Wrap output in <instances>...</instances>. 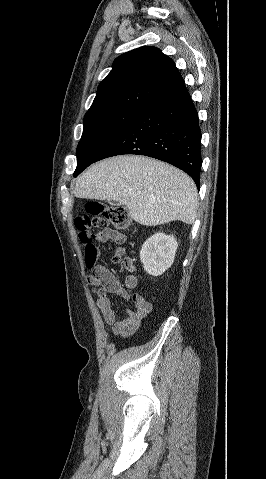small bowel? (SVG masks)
I'll return each mask as SVG.
<instances>
[{
  "mask_svg": "<svg viewBox=\"0 0 266 479\" xmlns=\"http://www.w3.org/2000/svg\"><path fill=\"white\" fill-rule=\"evenodd\" d=\"M93 239L98 243L112 241L119 244L125 240V236L111 230H103L92 237V242ZM91 280L99 288L96 302L97 307L111 332L124 337L134 333L141 320L149 313L151 308L150 303L143 295L131 293V291L137 287V277L134 274L128 275L125 286H123L109 269L103 265H97L94 268V275ZM112 295L130 300L134 305L133 308H127L125 310L123 318H119L117 315L110 298Z\"/></svg>",
  "mask_w": 266,
  "mask_h": 479,
  "instance_id": "obj_1",
  "label": "small bowel"
}]
</instances>
